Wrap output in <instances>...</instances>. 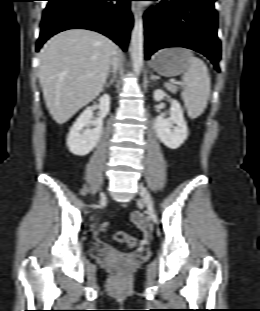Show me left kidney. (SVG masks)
Here are the masks:
<instances>
[{
    "mask_svg": "<svg viewBox=\"0 0 260 311\" xmlns=\"http://www.w3.org/2000/svg\"><path fill=\"white\" fill-rule=\"evenodd\" d=\"M166 96L160 89L154 91V100L159 102ZM176 125L175 127L173 125ZM154 128L160 141L170 149L179 148L188 136V128L180 103L172 100L170 118L159 115L154 120Z\"/></svg>",
    "mask_w": 260,
    "mask_h": 311,
    "instance_id": "1",
    "label": "left kidney"
}]
</instances>
